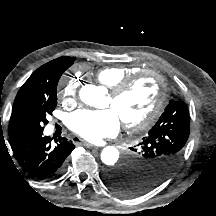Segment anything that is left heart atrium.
Wrapping results in <instances>:
<instances>
[{"mask_svg":"<svg viewBox=\"0 0 216 216\" xmlns=\"http://www.w3.org/2000/svg\"><path fill=\"white\" fill-rule=\"evenodd\" d=\"M120 117L111 107L101 110L81 109L70 114L67 125L71 131L88 141H99L116 135Z\"/></svg>","mask_w":216,"mask_h":216,"instance_id":"39dd6f15","label":"left heart atrium"}]
</instances>
